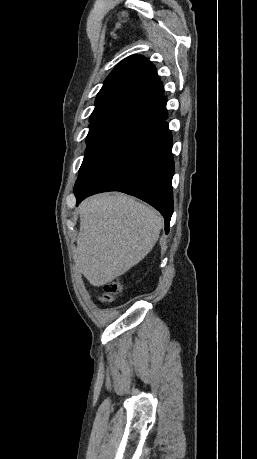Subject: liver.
Masks as SVG:
<instances>
[{"label": "liver", "mask_w": 257, "mask_h": 459, "mask_svg": "<svg viewBox=\"0 0 257 459\" xmlns=\"http://www.w3.org/2000/svg\"><path fill=\"white\" fill-rule=\"evenodd\" d=\"M75 263L93 286H102L138 264L156 244L163 219L123 194H101L79 207Z\"/></svg>", "instance_id": "liver-1"}]
</instances>
